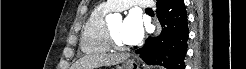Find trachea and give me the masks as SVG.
<instances>
[{
	"label": "trachea",
	"instance_id": "3493384b",
	"mask_svg": "<svg viewBox=\"0 0 246 69\" xmlns=\"http://www.w3.org/2000/svg\"><path fill=\"white\" fill-rule=\"evenodd\" d=\"M146 10H151L150 8H146Z\"/></svg>",
	"mask_w": 246,
	"mask_h": 69
}]
</instances>
